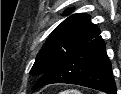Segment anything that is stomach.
I'll return each instance as SVG.
<instances>
[{
  "label": "stomach",
  "instance_id": "stomach-1",
  "mask_svg": "<svg viewBox=\"0 0 121 94\" xmlns=\"http://www.w3.org/2000/svg\"><path fill=\"white\" fill-rule=\"evenodd\" d=\"M60 94H81V92L78 91V90L72 89V90L63 91V92H61Z\"/></svg>",
  "mask_w": 121,
  "mask_h": 94
}]
</instances>
